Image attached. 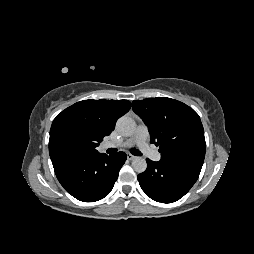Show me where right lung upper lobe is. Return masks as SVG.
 Returning <instances> with one entry per match:
<instances>
[{
  "label": "right lung upper lobe",
  "mask_w": 254,
  "mask_h": 254,
  "mask_svg": "<svg viewBox=\"0 0 254 254\" xmlns=\"http://www.w3.org/2000/svg\"><path fill=\"white\" fill-rule=\"evenodd\" d=\"M128 100H83L63 110L50 129L51 159L63 155H98L96 147L127 113Z\"/></svg>",
  "instance_id": "1"
}]
</instances>
